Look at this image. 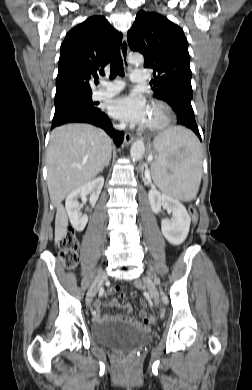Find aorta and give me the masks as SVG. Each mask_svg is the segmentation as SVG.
<instances>
[{"instance_id":"1","label":"aorta","mask_w":252,"mask_h":390,"mask_svg":"<svg viewBox=\"0 0 252 390\" xmlns=\"http://www.w3.org/2000/svg\"><path fill=\"white\" fill-rule=\"evenodd\" d=\"M128 60L130 63L137 65L142 64L144 61L143 56L137 53L130 54ZM144 152V142L142 140H137L131 146L130 156L133 161H138L143 157Z\"/></svg>"}]
</instances>
